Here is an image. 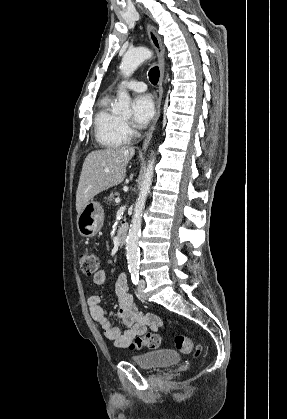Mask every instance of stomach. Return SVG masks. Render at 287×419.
<instances>
[{"label":"stomach","mask_w":287,"mask_h":419,"mask_svg":"<svg viewBox=\"0 0 287 419\" xmlns=\"http://www.w3.org/2000/svg\"><path fill=\"white\" fill-rule=\"evenodd\" d=\"M104 221V212L100 203L91 200L77 216V228L80 235L93 237L101 229Z\"/></svg>","instance_id":"1"}]
</instances>
